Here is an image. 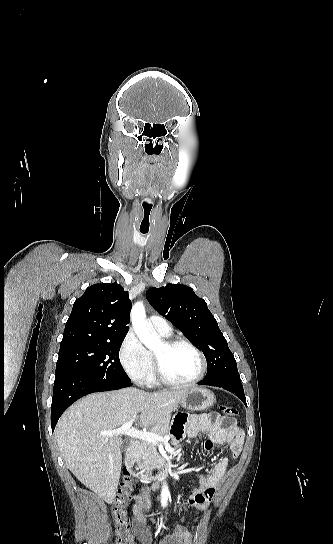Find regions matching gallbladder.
Instances as JSON below:
<instances>
[{
  "mask_svg": "<svg viewBox=\"0 0 333 544\" xmlns=\"http://www.w3.org/2000/svg\"><path fill=\"white\" fill-rule=\"evenodd\" d=\"M127 447H128V443L123 442V444L121 446V450L124 451Z\"/></svg>",
  "mask_w": 333,
  "mask_h": 544,
  "instance_id": "1",
  "label": "gallbladder"
}]
</instances>
